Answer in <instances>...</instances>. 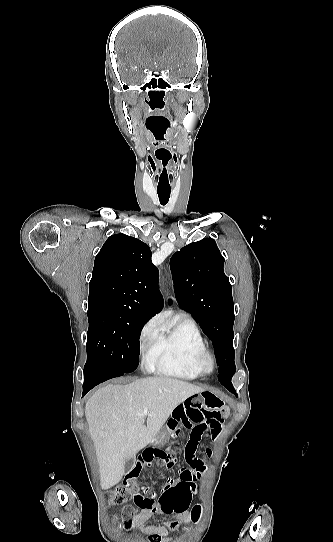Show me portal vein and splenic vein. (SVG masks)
Here are the masks:
<instances>
[{
  "mask_svg": "<svg viewBox=\"0 0 333 542\" xmlns=\"http://www.w3.org/2000/svg\"><path fill=\"white\" fill-rule=\"evenodd\" d=\"M143 414H148V410H147V408H145V410H144Z\"/></svg>",
  "mask_w": 333,
  "mask_h": 542,
  "instance_id": "portal-vein-and-splenic-vein-1",
  "label": "portal vein and splenic vein"
}]
</instances>
